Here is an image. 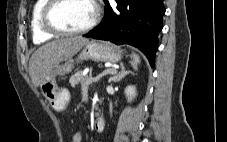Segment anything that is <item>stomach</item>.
<instances>
[{"label": "stomach", "instance_id": "stomach-1", "mask_svg": "<svg viewBox=\"0 0 227 142\" xmlns=\"http://www.w3.org/2000/svg\"><path fill=\"white\" fill-rule=\"evenodd\" d=\"M122 58V51L117 47L104 42L90 41L78 55L76 61L94 59L104 62L117 63ZM74 60H65V63L59 64L41 83L40 89L42 95L49 101L55 110H63L70 100V93L66 88H59L56 82V76H64L73 68Z\"/></svg>", "mask_w": 227, "mask_h": 142}]
</instances>
